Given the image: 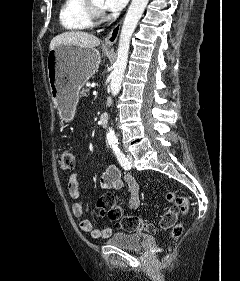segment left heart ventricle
I'll return each mask as SVG.
<instances>
[{
    "instance_id": "obj_1",
    "label": "left heart ventricle",
    "mask_w": 240,
    "mask_h": 281,
    "mask_svg": "<svg viewBox=\"0 0 240 281\" xmlns=\"http://www.w3.org/2000/svg\"><path fill=\"white\" fill-rule=\"evenodd\" d=\"M96 4H98L99 6H103L104 4V0H95Z\"/></svg>"
}]
</instances>
